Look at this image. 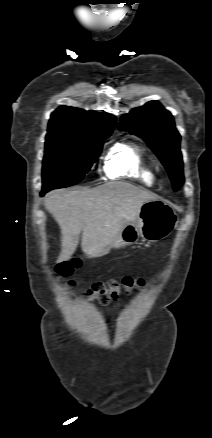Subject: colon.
<instances>
[{
	"label": "colon",
	"mask_w": 212,
	"mask_h": 438,
	"mask_svg": "<svg viewBox=\"0 0 212 438\" xmlns=\"http://www.w3.org/2000/svg\"><path fill=\"white\" fill-rule=\"evenodd\" d=\"M78 266V260H73L72 262L59 264L56 270L61 277H68L73 269ZM142 285V280H135L131 277H125L119 281L110 280L108 282H97L88 289L87 296L102 305H106L111 301H116L122 291L130 293L134 288Z\"/></svg>",
	"instance_id": "colon-1"
}]
</instances>
